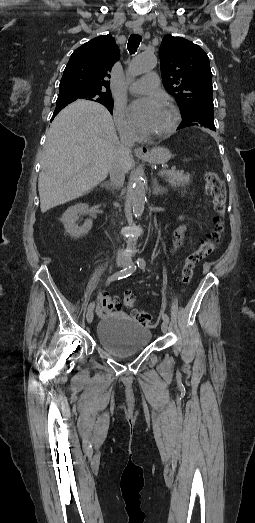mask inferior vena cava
<instances>
[{"mask_svg": "<svg viewBox=\"0 0 255 523\" xmlns=\"http://www.w3.org/2000/svg\"><path fill=\"white\" fill-rule=\"evenodd\" d=\"M120 144L113 166L110 170V178L113 190L123 188L126 164L130 160V148H133L135 142V132L131 128H120Z\"/></svg>", "mask_w": 255, "mask_h": 523, "instance_id": "inferior-vena-cava-1", "label": "inferior vena cava"}]
</instances>
